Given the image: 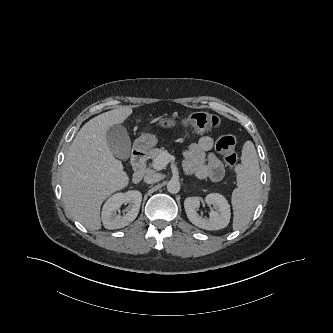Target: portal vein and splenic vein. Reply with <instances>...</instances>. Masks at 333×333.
Instances as JSON below:
<instances>
[{
	"instance_id": "portal-vein-and-splenic-vein-1",
	"label": "portal vein and splenic vein",
	"mask_w": 333,
	"mask_h": 333,
	"mask_svg": "<svg viewBox=\"0 0 333 333\" xmlns=\"http://www.w3.org/2000/svg\"><path fill=\"white\" fill-rule=\"evenodd\" d=\"M174 160V156L170 155L168 152H165L154 160L153 167L154 169L162 170L169 162Z\"/></svg>"
}]
</instances>
